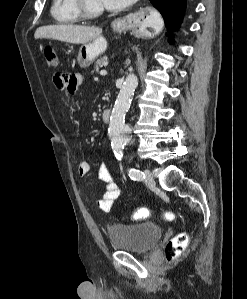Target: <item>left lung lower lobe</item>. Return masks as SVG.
I'll return each instance as SVG.
<instances>
[{"instance_id": "left-lung-lower-lobe-1", "label": "left lung lower lobe", "mask_w": 247, "mask_h": 299, "mask_svg": "<svg viewBox=\"0 0 247 299\" xmlns=\"http://www.w3.org/2000/svg\"><path fill=\"white\" fill-rule=\"evenodd\" d=\"M150 2L162 14L168 29L174 31L179 28L185 10V0H150Z\"/></svg>"}]
</instances>
